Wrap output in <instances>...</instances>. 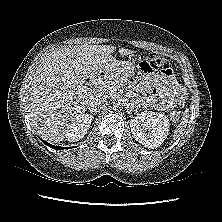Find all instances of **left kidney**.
Returning a JSON list of instances; mask_svg holds the SVG:
<instances>
[{"instance_id": "5707ae66", "label": "left kidney", "mask_w": 222, "mask_h": 222, "mask_svg": "<svg viewBox=\"0 0 222 222\" xmlns=\"http://www.w3.org/2000/svg\"><path fill=\"white\" fill-rule=\"evenodd\" d=\"M169 119L157 112L143 111L130 121L133 137L143 146L154 149L166 139Z\"/></svg>"}]
</instances>
